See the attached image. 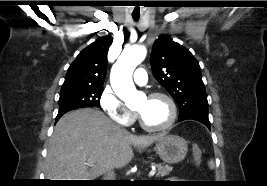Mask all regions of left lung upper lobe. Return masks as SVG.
Returning <instances> with one entry per match:
<instances>
[{
  "mask_svg": "<svg viewBox=\"0 0 267 186\" xmlns=\"http://www.w3.org/2000/svg\"><path fill=\"white\" fill-rule=\"evenodd\" d=\"M152 72L156 80L175 99L180 118H208V101L201 69L191 52L168 36L153 44Z\"/></svg>",
  "mask_w": 267,
  "mask_h": 186,
  "instance_id": "obj_1",
  "label": "left lung upper lobe"
}]
</instances>
